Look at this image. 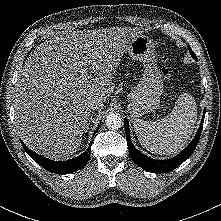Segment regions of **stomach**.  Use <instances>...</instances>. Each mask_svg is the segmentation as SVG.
Returning <instances> with one entry per match:
<instances>
[{
  "mask_svg": "<svg viewBox=\"0 0 221 221\" xmlns=\"http://www.w3.org/2000/svg\"><path fill=\"white\" fill-rule=\"evenodd\" d=\"M127 53L134 60L143 62L144 66L139 83L128 95V110L138 117L159 107L163 76L157 66L156 46L151 38L138 35L128 45Z\"/></svg>",
  "mask_w": 221,
  "mask_h": 221,
  "instance_id": "stomach-1",
  "label": "stomach"
}]
</instances>
